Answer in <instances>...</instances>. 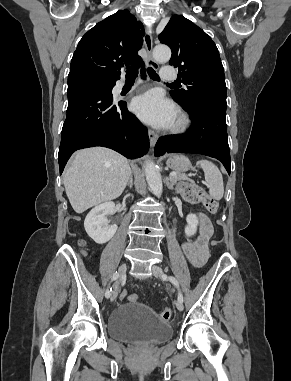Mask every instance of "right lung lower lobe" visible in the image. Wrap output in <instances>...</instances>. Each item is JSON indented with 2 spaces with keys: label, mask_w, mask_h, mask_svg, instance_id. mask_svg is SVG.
I'll use <instances>...</instances> for the list:
<instances>
[{
  "label": "right lung lower lobe",
  "mask_w": 291,
  "mask_h": 381,
  "mask_svg": "<svg viewBox=\"0 0 291 381\" xmlns=\"http://www.w3.org/2000/svg\"><path fill=\"white\" fill-rule=\"evenodd\" d=\"M141 74L145 78L144 68ZM110 84L80 75L68 76L67 117L58 153L60 174L78 149L103 146L129 159H139L148 151L146 127L128 112L125 102H114L111 91L115 82Z\"/></svg>",
  "instance_id": "right-lung-lower-lobe-1"
}]
</instances>
